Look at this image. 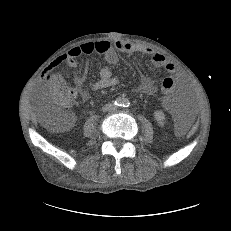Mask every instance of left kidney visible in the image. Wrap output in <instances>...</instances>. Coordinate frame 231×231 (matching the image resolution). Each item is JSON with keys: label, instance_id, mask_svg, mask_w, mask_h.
I'll use <instances>...</instances> for the list:
<instances>
[{"label": "left kidney", "instance_id": "1", "mask_svg": "<svg viewBox=\"0 0 231 231\" xmlns=\"http://www.w3.org/2000/svg\"><path fill=\"white\" fill-rule=\"evenodd\" d=\"M154 118L161 126H163L166 122L165 114L161 110H157L154 112Z\"/></svg>", "mask_w": 231, "mask_h": 231}]
</instances>
